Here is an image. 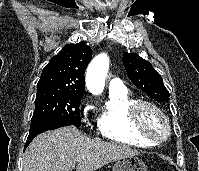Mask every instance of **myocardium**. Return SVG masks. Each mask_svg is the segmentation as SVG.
Instances as JSON below:
<instances>
[{
	"label": "myocardium",
	"mask_w": 199,
	"mask_h": 171,
	"mask_svg": "<svg viewBox=\"0 0 199 171\" xmlns=\"http://www.w3.org/2000/svg\"><path fill=\"white\" fill-rule=\"evenodd\" d=\"M150 111L157 114L163 121L164 129L162 132L154 131L146 123L147 113ZM131 117L136 132L156 143L167 140L171 135L172 125L169 117L164 110L154 102L147 100L138 101L132 108Z\"/></svg>",
	"instance_id": "1"
}]
</instances>
